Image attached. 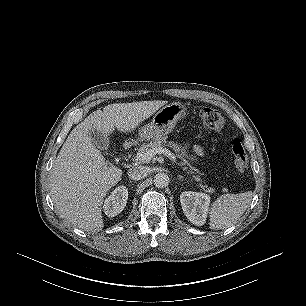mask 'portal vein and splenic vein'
Wrapping results in <instances>:
<instances>
[{"label":"portal vein and splenic vein","mask_w":306,"mask_h":306,"mask_svg":"<svg viewBox=\"0 0 306 306\" xmlns=\"http://www.w3.org/2000/svg\"><path fill=\"white\" fill-rule=\"evenodd\" d=\"M156 154H164L167 157H169L173 162H176V157L175 155L167 148H156L152 150H148L147 152L144 153H138L134 157L135 162H141V163H147L149 162Z\"/></svg>","instance_id":"18ae733b"}]
</instances>
